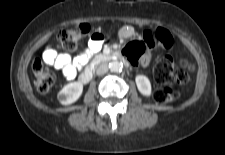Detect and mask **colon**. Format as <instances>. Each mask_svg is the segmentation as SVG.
Listing matches in <instances>:
<instances>
[{"label": "colon", "mask_w": 225, "mask_h": 155, "mask_svg": "<svg viewBox=\"0 0 225 155\" xmlns=\"http://www.w3.org/2000/svg\"><path fill=\"white\" fill-rule=\"evenodd\" d=\"M89 31L90 26L88 24H80L74 28L61 31L58 35L61 47L66 51L75 50L82 37ZM172 43V36L166 29L156 28L145 31L142 40L130 42L122 49L121 54L130 66L135 67L145 53L146 46L170 47ZM32 70L36 78L37 90L41 93H47L55 84L56 76L54 72L47 68L40 59L33 62ZM192 70L193 65L187 60L176 63L170 57L160 59L154 66V77L161 86L153 91V99L161 104L175 102L179 98V93L170 85L186 83Z\"/></svg>", "instance_id": "obj_1"}]
</instances>
